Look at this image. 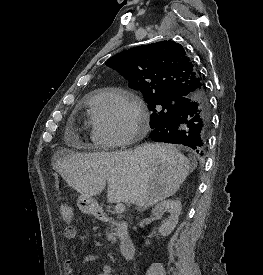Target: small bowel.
<instances>
[{
    "mask_svg": "<svg viewBox=\"0 0 263 275\" xmlns=\"http://www.w3.org/2000/svg\"><path fill=\"white\" fill-rule=\"evenodd\" d=\"M64 235L68 239H73V238H75L77 236V231H76V229L73 226H69V227L65 228ZM93 244H94V246H96V247H98V248H100L102 250L105 249V246L100 241H98V240H94ZM81 256H82V259H83L84 262L93 260V255L91 254V252L88 249H84L82 251V255ZM65 268H66V271H67L68 275H76L72 259L68 258L65 261ZM111 273H112L111 266L110 265H105L102 268V271L100 272L99 275H111Z\"/></svg>",
    "mask_w": 263,
    "mask_h": 275,
    "instance_id": "small-bowel-1",
    "label": "small bowel"
}]
</instances>
